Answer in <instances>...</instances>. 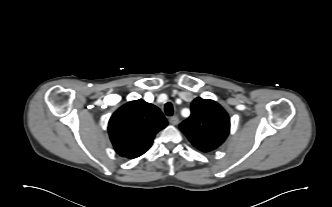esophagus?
Listing matches in <instances>:
<instances>
[{"instance_id": "esophagus-1", "label": "esophagus", "mask_w": 332, "mask_h": 207, "mask_svg": "<svg viewBox=\"0 0 332 207\" xmlns=\"http://www.w3.org/2000/svg\"><path fill=\"white\" fill-rule=\"evenodd\" d=\"M170 124L177 125L179 123V118L177 116H172L169 119Z\"/></svg>"}]
</instances>
